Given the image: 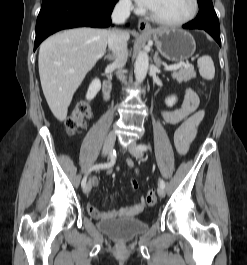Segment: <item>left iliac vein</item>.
<instances>
[{
	"label": "left iliac vein",
	"instance_id": "4c4485c4",
	"mask_svg": "<svg viewBox=\"0 0 247 265\" xmlns=\"http://www.w3.org/2000/svg\"><path fill=\"white\" fill-rule=\"evenodd\" d=\"M128 151L136 158H142L143 156V151L140 150L137 146L136 143H131L129 146H128ZM157 193L158 195L162 198L165 196V190L164 188H162L161 186L158 187L157 189Z\"/></svg>",
	"mask_w": 247,
	"mask_h": 265
}]
</instances>
